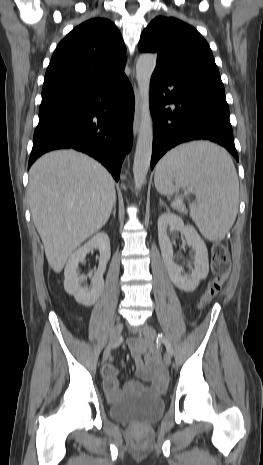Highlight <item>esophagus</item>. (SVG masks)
Segmentation results:
<instances>
[{"label":"esophagus","instance_id":"34e87169","mask_svg":"<svg viewBox=\"0 0 263 465\" xmlns=\"http://www.w3.org/2000/svg\"><path fill=\"white\" fill-rule=\"evenodd\" d=\"M135 96H136V104H135V113H134V120H133V133L134 136L137 135L140 125V117H141V98L138 90L135 87Z\"/></svg>","mask_w":263,"mask_h":465}]
</instances>
